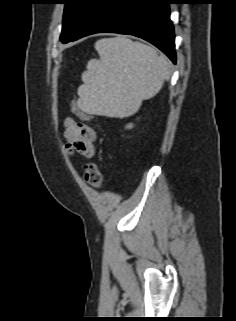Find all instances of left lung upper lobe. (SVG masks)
Segmentation results:
<instances>
[{
    "instance_id": "obj_1",
    "label": "left lung upper lobe",
    "mask_w": 236,
    "mask_h": 321,
    "mask_svg": "<svg viewBox=\"0 0 236 321\" xmlns=\"http://www.w3.org/2000/svg\"><path fill=\"white\" fill-rule=\"evenodd\" d=\"M99 0H65L63 27L60 40L70 41L80 30Z\"/></svg>"
}]
</instances>
